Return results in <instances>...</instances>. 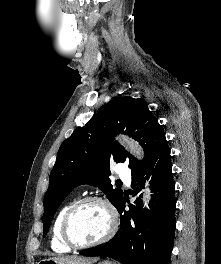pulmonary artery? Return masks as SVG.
<instances>
[{
	"instance_id": "obj_1",
	"label": "pulmonary artery",
	"mask_w": 221,
	"mask_h": 264,
	"mask_svg": "<svg viewBox=\"0 0 221 264\" xmlns=\"http://www.w3.org/2000/svg\"><path fill=\"white\" fill-rule=\"evenodd\" d=\"M118 175L120 178H122L126 182L130 181V171L126 166H124V165L120 166V168L118 170Z\"/></svg>"
}]
</instances>
